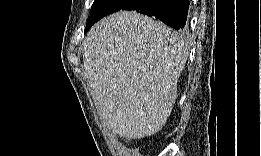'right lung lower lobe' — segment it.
<instances>
[{
	"mask_svg": "<svg viewBox=\"0 0 261 156\" xmlns=\"http://www.w3.org/2000/svg\"><path fill=\"white\" fill-rule=\"evenodd\" d=\"M189 0H131L121 10H134L155 17L179 30L186 26Z\"/></svg>",
	"mask_w": 261,
	"mask_h": 156,
	"instance_id": "1",
	"label": "right lung lower lobe"
}]
</instances>
